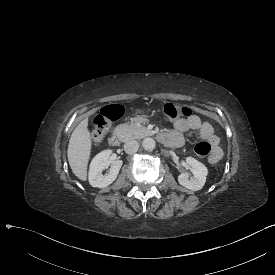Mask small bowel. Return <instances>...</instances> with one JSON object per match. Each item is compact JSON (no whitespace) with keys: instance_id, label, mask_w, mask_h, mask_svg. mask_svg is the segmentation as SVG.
<instances>
[{"instance_id":"obj_1","label":"small bowel","mask_w":275,"mask_h":275,"mask_svg":"<svg viewBox=\"0 0 275 275\" xmlns=\"http://www.w3.org/2000/svg\"><path fill=\"white\" fill-rule=\"evenodd\" d=\"M176 131L174 133L167 134H178L183 140L184 133L190 130H198L200 138L209 141L213 146V151L210 156V162L216 163L222 157V149L219 145V138L215 135L212 126L207 122H202L199 116L192 115L187 119H179L175 122Z\"/></svg>"}]
</instances>
